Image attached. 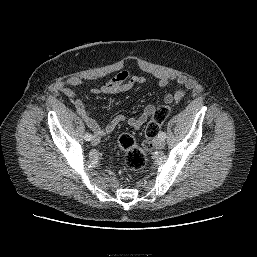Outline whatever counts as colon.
<instances>
[{
	"instance_id": "1",
	"label": "colon",
	"mask_w": 257,
	"mask_h": 257,
	"mask_svg": "<svg viewBox=\"0 0 257 257\" xmlns=\"http://www.w3.org/2000/svg\"><path fill=\"white\" fill-rule=\"evenodd\" d=\"M170 108L167 105L155 109L150 121L145 128L147 142L146 148L150 146V140L155 137L161 125L167 119ZM118 147L125 153V165L131 171H139L146 164L145 151L136 143L134 136L130 133H123L118 138Z\"/></svg>"
}]
</instances>
